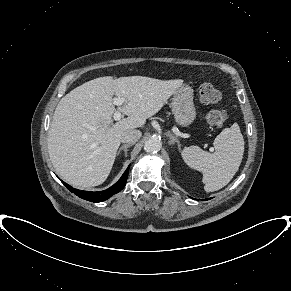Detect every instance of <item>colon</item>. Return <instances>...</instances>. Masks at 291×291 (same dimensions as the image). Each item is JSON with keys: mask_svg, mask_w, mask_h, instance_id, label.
Masks as SVG:
<instances>
[{"mask_svg": "<svg viewBox=\"0 0 291 291\" xmlns=\"http://www.w3.org/2000/svg\"><path fill=\"white\" fill-rule=\"evenodd\" d=\"M199 96L204 104H216L221 100L220 91L210 83L200 85ZM205 118L210 125L221 127L227 119V114L224 110L213 109L207 112Z\"/></svg>", "mask_w": 291, "mask_h": 291, "instance_id": "1", "label": "colon"}]
</instances>
